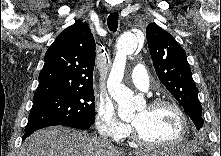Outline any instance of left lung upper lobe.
Segmentation results:
<instances>
[{"label":"left lung upper lobe","instance_id":"5c2ea615","mask_svg":"<svg viewBox=\"0 0 221 156\" xmlns=\"http://www.w3.org/2000/svg\"><path fill=\"white\" fill-rule=\"evenodd\" d=\"M148 47L156 74L200 130L202 106L186 53L175 38L155 23L146 28Z\"/></svg>","mask_w":221,"mask_h":156}]
</instances>
